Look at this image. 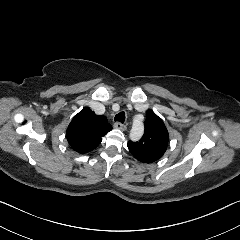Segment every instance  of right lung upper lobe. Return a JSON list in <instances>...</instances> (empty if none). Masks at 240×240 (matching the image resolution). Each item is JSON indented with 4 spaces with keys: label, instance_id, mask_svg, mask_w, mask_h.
I'll list each match as a JSON object with an SVG mask.
<instances>
[{
    "label": "right lung upper lobe",
    "instance_id": "right-lung-upper-lobe-1",
    "mask_svg": "<svg viewBox=\"0 0 240 240\" xmlns=\"http://www.w3.org/2000/svg\"><path fill=\"white\" fill-rule=\"evenodd\" d=\"M110 130L112 127L107 123L106 117L84 108L73 117L66 135L73 150L87 153L95 149L101 143V137Z\"/></svg>",
    "mask_w": 240,
    "mask_h": 240
}]
</instances>
